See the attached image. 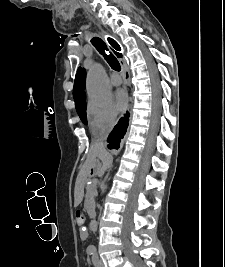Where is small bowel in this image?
Wrapping results in <instances>:
<instances>
[{
  "label": "small bowel",
  "mask_w": 225,
  "mask_h": 267,
  "mask_svg": "<svg viewBox=\"0 0 225 267\" xmlns=\"http://www.w3.org/2000/svg\"><path fill=\"white\" fill-rule=\"evenodd\" d=\"M80 235L81 237H85V232H82Z\"/></svg>",
  "instance_id": "1"
}]
</instances>
